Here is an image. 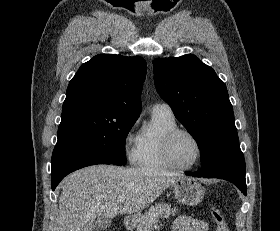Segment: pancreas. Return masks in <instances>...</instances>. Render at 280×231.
<instances>
[{"instance_id": "pancreas-1", "label": "pancreas", "mask_w": 280, "mask_h": 231, "mask_svg": "<svg viewBox=\"0 0 280 231\" xmlns=\"http://www.w3.org/2000/svg\"><path fill=\"white\" fill-rule=\"evenodd\" d=\"M171 213H176V207H171L170 203H155L151 205L145 215L134 219L136 231H150L152 225L158 223L160 217H169Z\"/></svg>"}]
</instances>
